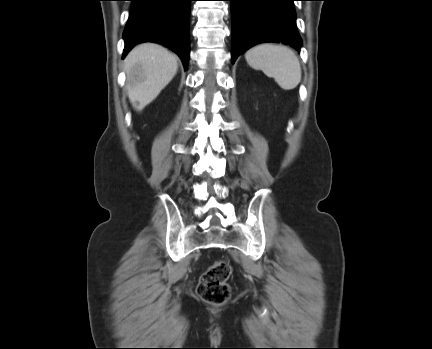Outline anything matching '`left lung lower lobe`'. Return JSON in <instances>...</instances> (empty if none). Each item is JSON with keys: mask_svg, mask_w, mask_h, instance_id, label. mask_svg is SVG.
I'll return each instance as SVG.
<instances>
[{"mask_svg": "<svg viewBox=\"0 0 432 349\" xmlns=\"http://www.w3.org/2000/svg\"><path fill=\"white\" fill-rule=\"evenodd\" d=\"M232 12V63L256 44L277 42L300 51L295 0H228Z\"/></svg>", "mask_w": 432, "mask_h": 349, "instance_id": "0a47b994", "label": "left lung lower lobe"}]
</instances>
